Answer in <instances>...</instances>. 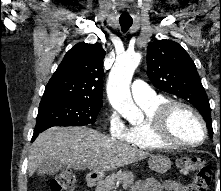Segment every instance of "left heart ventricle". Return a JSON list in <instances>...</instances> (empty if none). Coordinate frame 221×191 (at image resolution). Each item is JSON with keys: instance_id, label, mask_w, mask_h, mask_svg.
<instances>
[{"instance_id": "1", "label": "left heart ventricle", "mask_w": 221, "mask_h": 191, "mask_svg": "<svg viewBox=\"0 0 221 191\" xmlns=\"http://www.w3.org/2000/svg\"><path fill=\"white\" fill-rule=\"evenodd\" d=\"M175 136L184 142L196 143L202 138V130L196 119L186 111H179L173 118Z\"/></svg>"}]
</instances>
